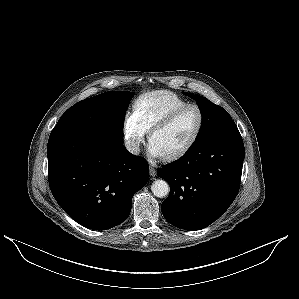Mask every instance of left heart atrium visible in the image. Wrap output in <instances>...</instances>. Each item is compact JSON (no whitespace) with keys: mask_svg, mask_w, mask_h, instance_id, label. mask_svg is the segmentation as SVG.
Wrapping results in <instances>:
<instances>
[{"mask_svg":"<svg viewBox=\"0 0 299 299\" xmlns=\"http://www.w3.org/2000/svg\"><path fill=\"white\" fill-rule=\"evenodd\" d=\"M148 153L155 158L164 156V153L152 141L148 144Z\"/></svg>","mask_w":299,"mask_h":299,"instance_id":"39dd6f15","label":"left heart atrium"}]
</instances>
